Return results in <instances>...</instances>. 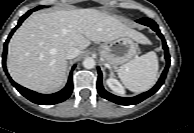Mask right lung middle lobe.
Here are the masks:
<instances>
[{
  "instance_id": "right-lung-middle-lobe-1",
  "label": "right lung middle lobe",
  "mask_w": 194,
  "mask_h": 133,
  "mask_svg": "<svg viewBox=\"0 0 194 133\" xmlns=\"http://www.w3.org/2000/svg\"><path fill=\"white\" fill-rule=\"evenodd\" d=\"M43 7H44V6H38V7L34 8L33 11H36V10L41 9V8H43Z\"/></svg>"
}]
</instances>
